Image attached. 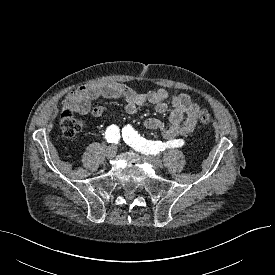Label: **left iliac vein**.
Returning <instances> with one entry per match:
<instances>
[{
  "instance_id": "4c4485c4",
  "label": "left iliac vein",
  "mask_w": 275,
  "mask_h": 275,
  "mask_svg": "<svg viewBox=\"0 0 275 275\" xmlns=\"http://www.w3.org/2000/svg\"><path fill=\"white\" fill-rule=\"evenodd\" d=\"M148 159L153 165H155L157 167L162 165L161 159L156 155H148Z\"/></svg>"
}]
</instances>
